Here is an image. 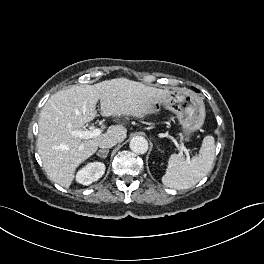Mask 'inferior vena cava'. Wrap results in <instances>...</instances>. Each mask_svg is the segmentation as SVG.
<instances>
[{
  "instance_id": "602c4592",
  "label": "inferior vena cava",
  "mask_w": 264,
  "mask_h": 264,
  "mask_svg": "<svg viewBox=\"0 0 264 264\" xmlns=\"http://www.w3.org/2000/svg\"><path fill=\"white\" fill-rule=\"evenodd\" d=\"M117 142H118L117 139L112 138V137H107L100 141L99 147L101 149L112 148L113 146L117 144Z\"/></svg>"
}]
</instances>
